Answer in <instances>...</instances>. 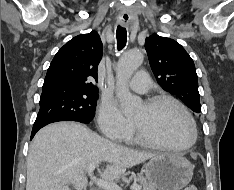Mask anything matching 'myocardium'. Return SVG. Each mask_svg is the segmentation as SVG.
I'll return each instance as SVG.
<instances>
[{"label": "myocardium", "instance_id": "myocardium-1", "mask_svg": "<svg viewBox=\"0 0 234 190\" xmlns=\"http://www.w3.org/2000/svg\"><path fill=\"white\" fill-rule=\"evenodd\" d=\"M161 102L173 103L183 112V114L186 116L191 127V139L189 140V142L183 145H171V144L161 143L153 139L145 131V129L140 123L133 120V126H134V130H135L137 138L143 144L151 146V147H155V148L175 150V151H182V150H187L191 148L196 143L197 136H198L196 122L192 114L182 102H180L178 99L168 94H158V95L152 96L144 102V105L150 109V108L155 107L157 104Z\"/></svg>", "mask_w": 234, "mask_h": 190}]
</instances>
